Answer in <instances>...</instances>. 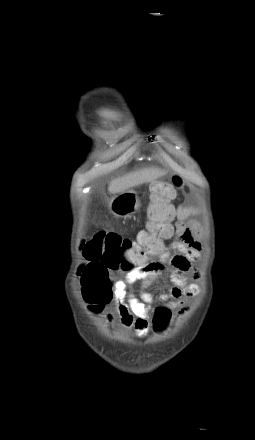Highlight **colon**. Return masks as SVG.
Instances as JSON below:
<instances>
[{
    "label": "colon",
    "instance_id": "colon-1",
    "mask_svg": "<svg viewBox=\"0 0 255 440\" xmlns=\"http://www.w3.org/2000/svg\"><path fill=\"white\" fill-rule=\"evenodd\" d=\"M181 183V178L174 176L170 182L152 185L145 229L135 239L101 231L84 241L81 250L88 264L81 273V285L87 303L100 308L110 302V271L146 267L154 257L163 258L166 255L167 249L162 239L169 237L172 232L174 211L171 202ZM171 318L172 313L168 308L159 307L153 318L155 331L165 330Z\"/></svg>",
    "mask_w": 255,
    "mask_h": 440
}]
</instances>
